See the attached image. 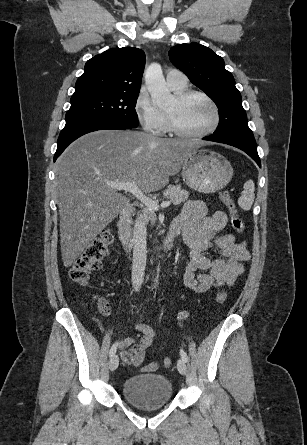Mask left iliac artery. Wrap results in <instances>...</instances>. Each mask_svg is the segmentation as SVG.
I'll return each instance as SVG.
<instances>
[{"label": "left iliac artery", "mask_w": 307, "mask_h": 445, "mask_svg": "<svg viewBox=\"0 0 307 445\" xmlns=\"http://www.w3.org/2000/svg\"><path fill=\"white\" fill-rule=\"evenodd\" d=\"M180 355H181V358H182L185 362H188V356H187L186 352H185L183 349L180 350Z\"/></svg>", "instance_id": "obj_1"}]
</instances>
